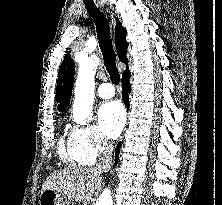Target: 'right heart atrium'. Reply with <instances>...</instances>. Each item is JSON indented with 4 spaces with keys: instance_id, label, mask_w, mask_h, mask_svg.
<instances>
[{
    "instance_id": "d8ad5b80",
    "label": "right heart atrium",
    "mask_w": 222,
    "mask_h": 205,
    "mask_svg": "<svg viewBox=\"0 0 222 205\" xmlns=\"http://www.w3.org/2000/svg\"><path fill=\"white\" fill-rule=\"evenodd\" d=\"M69 142L85 165L94 163L110 151V143L95 125L73 126L69 133Z\"/></svg>"
}]
</instances>
